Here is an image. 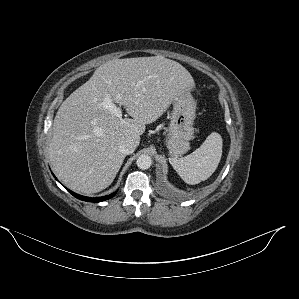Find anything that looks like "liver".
I'll use <instances>...</instances> for the list:
<instances>
[{"label": "liver", "instance_id": "6515ba94", "mask_svg": "<svg viewBox=\"0 0 299 299\" xmlns=\"http://www.w3.org/2000/svg\"><path fill=\"white\" fill-rule=\"evenodd\" d=\"M193 88L191 74L161 55L106 62L57 111L48 148L54 171L77 193L102 191L125 159L119 151L121 141L131 139L137 147L145 125ZM107 96L124 106L132 119L103 108Z\"/></svg>", "mask_w": 299, "mask_h": 299}]
</instances>
